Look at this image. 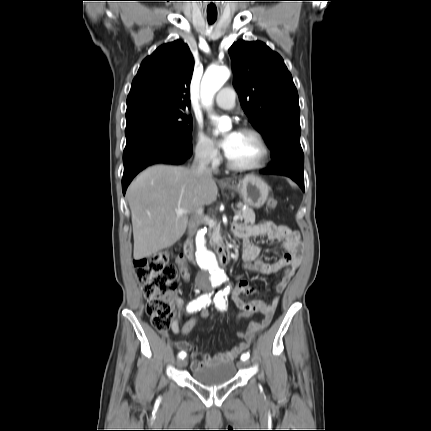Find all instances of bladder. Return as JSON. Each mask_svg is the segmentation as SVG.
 <instances>
[{
    "instance_id": "31cf9c89",
    "label": "bladder",
    "mask_w": 431,
    "mask_h": 431,
    "mask_svg": "<svg viewBox=\"0 0 431 431\" xmlns=\"http://www.w3.org/2000/svg\"><path fill=\"white\" fill-rule=\"evenodd\" d=\"M237 373L234 362L219 363L197 368L191 372L192 379L207 387H218L233 381Z\"/></svg>"
}]
</instances>
